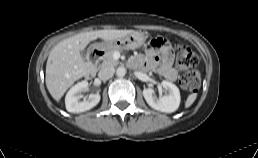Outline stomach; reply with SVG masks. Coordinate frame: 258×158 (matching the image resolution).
I'll list each match as a JSON object with an SVG mask.
<instances>
[{
    "label": "stomach",
    "instance_id": "1",
    "mask_svg": "<svg viewBox=\"0 0 258 158\" xmlns=\"http://www.w3.org/2000/svg\"><path fill=\"white\" fill-rule=\"evenodd\" d=\"M146 40V35L140 31H133L128 35L117 38L112 41H103L95 44L97 47L110 50L113 48L119 49H136L141 47Z\"/></svg>",
    "mask_w": 258,
    "mask_h": 158
}]
</instances>
